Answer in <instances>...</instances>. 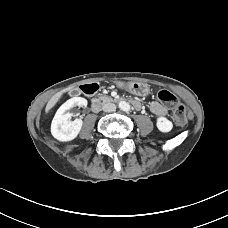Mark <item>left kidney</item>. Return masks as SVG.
<instances>
[{
	"label": "left kidney",
	"instance_id": "1",
	"mask_svg": "<svg viewBox=\"0 0 228 228\" xmlns=\"http://www.w3.org/2000/svg\"><path fill=\"white\" fill-rule=\"evenodd\" d=\"M156 125L159 131L164 133L170 132L173 128V123L170 120H168L166 117H159L157 119Z\"/></svg>",
	"mask_w": 228,
	"mask_h": 228
}]
</instances>
